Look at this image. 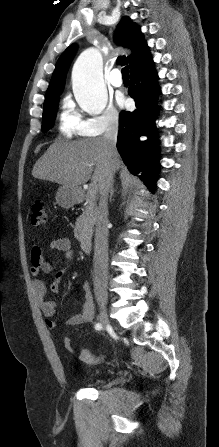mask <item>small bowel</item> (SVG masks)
I'll return each mask as SVG.
<instances>
[{"label": "small bowel", "mask_w": 219, "mask_h": 447, "mask_svg": "<svg viewBox=\"0 0 219 447\" xmlns=\"http://www.w3.org/2000/svg\"><path fill=\"white\" fill-rule=\"evenodd\" d=\"M51 248L58 253L64 254L68 260V264L63 268L56 269L57 262L47 260L44 257L43 248L40 245H35L33 246L31 253V272L34 276V296L44 314L46 326L52 330L58 327V322L55 320L57 305L55 301L46 299V296L59 291L61 281L71 268L70 262L73 259L74 252L68 238L54 240L51 243ZM48 273H53V279L49 284L40 277L42 274ZM81 289L84 294L82 312L67 319L65 322L67 326H77L84 323H90L94 320L95 305L89 283L84 282ZM66 341H70V339H64V346ZM84 352L85 350L81 351L79 356L82 361H84Z\"/></svg>", "instance_id": "c3829d8e"}]
</instances>
